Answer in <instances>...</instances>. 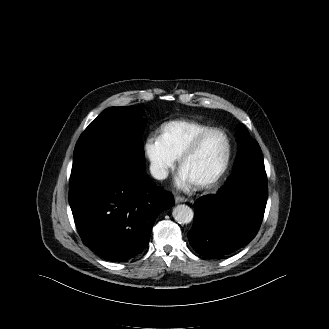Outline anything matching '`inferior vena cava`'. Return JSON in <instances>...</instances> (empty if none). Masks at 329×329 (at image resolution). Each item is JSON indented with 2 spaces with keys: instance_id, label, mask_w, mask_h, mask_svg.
I'll return each mask as SVG.
<instances>
[{
  "instance_id": "obj_1",
  "label": "inferior vena cava",
  "mask_w": 329,
  "mask_h": 329,
  "mask_svg": "<svg viewBox=\"0 0 329 329\" xmlns=\"http://www.w3.org/2000/svg\"><path fill=\"white\" fill-rule=\"evenodd\" d=\"M150 172L155 179L162 180L167 178L168 171L162 164L152 163L150 166Z\"/></svg>"
}]
</instances>
